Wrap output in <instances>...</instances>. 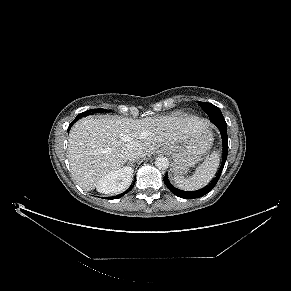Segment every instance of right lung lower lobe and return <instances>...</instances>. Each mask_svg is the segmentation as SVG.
Listing matches in <instances>:
<instances>
[{
  "label": "right lung lower lobe",
  "instance_id": "98d812e1",
  "mask_svg": "<svg viewBox=\"0 0 291 291\" xmlns=\"http://www.w3.org/2000/svg\"><path fill=\"white\" fill-rule=\"evenodd\" d=\"M77 120H78V119H75L74 122H76ZM74 122H73V123H74ZM73 123H72V124H73ZM72 124L69 126L68 131H69L70 127L72 126ZM134 184H135V181H134L133 185L131 186L130 190L133 188ZM127 192H128V191H127ZM124 194H125V193L120 194V195L116 196V198H120V197H122Z\"/></svg>",
  "mask_w": 291,
  "mask_h": 291
}]
</instances>
